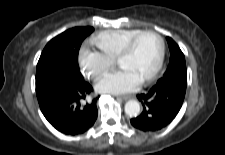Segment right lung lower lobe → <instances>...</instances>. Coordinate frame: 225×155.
Wrapping results in <instances>:
<instances>
[{"mask_svg":"<svg viewBox=\"0 0 225 155\" xmlns=\"http://www.w3.org/2000/svg\"><path fill=\"white\" fill-rule=\"evenodd\" d=\"M92 87L81 73L66 70L36 90L40 109L58 131L76 135L87 131L97 118L96 100L83 104Z\"/></svg>","mask_w":225,"mask_h":155,"instance_id":"98d812e1","label":"right lung lower lobe"}]
</instances>
